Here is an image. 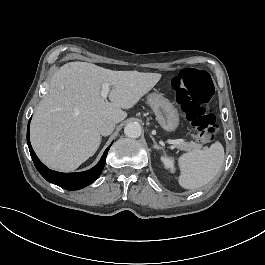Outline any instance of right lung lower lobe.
<instances>
[{
	"label": "right lung lower lobe",
	"instance_id": "98d812e1",
	"mask_svg": "<svg viewBox=\"0 0 265 265\" xmlns=\"http://www.w3.org/2000/svg\"><path fill=\"white\" fill-rule=\"evenodd\" d=\"M27 143L29 147V151L33 162L40 172V174L49 182L58 185L67 190H77L84 188L94 182L99 175L101 174L104 165L105 159L107 156V152L110 146L105 150L103 156L101 157L98 164L90 170L80 172V173H60L56 171H52L48 169L41 161L37 158L36 154L34 153L30 140H29V125L27 130Z\"/></svg>",
	"mask_w": 265,
	"mask_h": 265
}]
</instances>
